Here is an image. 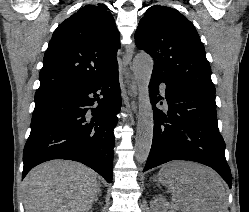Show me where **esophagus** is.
<instances>
[{"label": "esophagus", "instance_id": "esophagus-1", "mask_svg": "<svg viewBox=\"0 0 249 212\" xmlns=\"http://www.w3.org/2000/svg\"><path fill=\"white\" fill-rule=\"evenodd\" d=\"M134 47L135 45L133 43L126 47L125 54L123 56V74L124 75L127 73L128 65L131 62L132 55L134 53Z\"/></svg>", "mask_w": 249, "mask_h": 212}]
</instances>
